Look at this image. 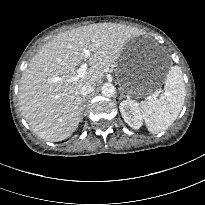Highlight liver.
Instances as JSON below:
<instances>
[{
  "label": "liver",
  "mask_w": 205,
  "mask_h": 205,
  "mask_svg": "<svg viewBox=\"0 0 205 205\" xmlns=\"http://www.w3.org/2000/svg\"><path fill=\"white\" fill-rule=\"evenodd\" d=\"M134 31L115 23H97L63 32L42 46L24 70L19 86L20 110L40 138L58 142L68 138L80 122L83 99L80 89L97 83L114 66ZM91 56L85 76L70 81L84 59ZM60 77V82H53Z\"/></svg>",
  "instance_id": "obj_1"
}]
</instances>
